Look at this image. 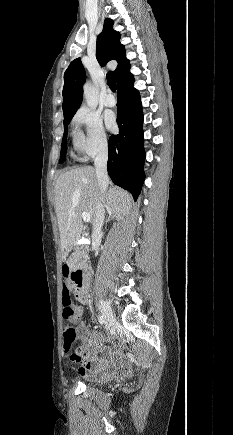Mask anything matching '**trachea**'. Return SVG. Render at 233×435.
I'll return each instance as SVG.
<instances>
[{"mask_svg":"<svg viewBox=\"0 0 233 435\" xmlns=\"http://www.w3.org/2000/svg\"><path fill=\"white\" fill-rule=\"evenodd\" d=\"M107 84L110 87V89L115 92L116 91V79L112 72H108L106 75Z\"/></svg>","mask_w":233,"mask_h":435,"instance_id":"trachea-1","label":"trachea"}]
</instances>
